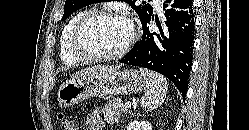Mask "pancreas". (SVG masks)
Wrapping results in <instances>:
<instances>
[{
  "label": "pancreas",
  "instance_id": "pancreas-1",
  "mask_svg": "<svg viewBox=\"0 0 249 130\" xmlns=\"http://www.w3.org/2000/svg\"><path fill=\"white\" fill-rule=\"evenodd\" d=\"M105 121L109 124L116 123L126 113L123 101L120 98L109 100L102 109Z\"/></svg>",
  "mask_w": 249,
  "mask_h": 130
}]
</instances>
